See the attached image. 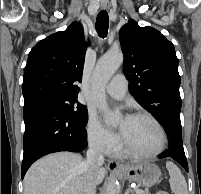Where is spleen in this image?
Returning <instances> with one entry per match:
<instances>
[{"label":"spleen","instance_id":"spleen-1","mask_svg":"<svg viewBox=\"0 0 201 194\" xmlns=\"http://www.w3.org/2000/svg\"><path fill=\"white\" fill-rule=\"evenodd\" d=\"M166 168L169 172L170 187L173 194H188L187 183L180 169L173 162H166Z\"/></svg>","mask_w":201,"mask_h":194}]
</instances>
